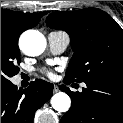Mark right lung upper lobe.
<instances>
[{
  "label": "right lung upper lobe",
  "mask_w": 123,
  "mask_h": 123,
  "mask_svg": "<svg viewBox=\"0 0 123 123\" xmlns=\"http://www.w3.org/2000/svg\"><path fill=\"white\" fill-rule=\"evenodd\" d=\"M46 13H21L7 9L1 10V22H10L19 33L27 29L33 28L39 22V19Z\"/></svg>",
  "instance_id": "cb5924a9"
}]
</instances>
